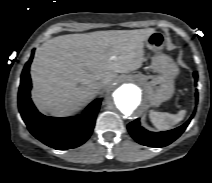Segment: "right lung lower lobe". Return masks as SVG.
Masks as SVG:
<instances>
[{
    "label": "right lung lower lobe",
    "instance_id": "right-lung-lower-lobe-1",
    "mask_svg": "<svg viewBox=\"0 0 212 183\" xmlns=\"http://www.w3.org/2000/svg\"><path fill=\"white\" fill-rule=\"evenodd\" d=\"M33 52L21 75L18 93L21 116L31 134L44 144L57 150L78 147L87 141L93 131L101 99L93 101L78 117L54 118L39 113L30 98L29 67Z\"/></svg>",
    "mask_w": 212,
    "mask_h": 183
}]
</instances>
